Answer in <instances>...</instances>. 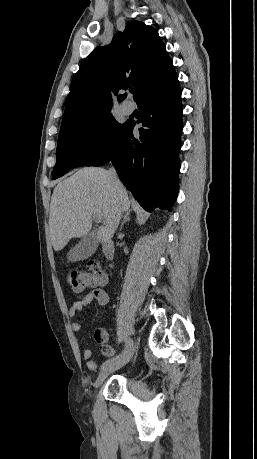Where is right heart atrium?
Returning <instances> with one entry per match:
<instances>
[{"label": "right heart atrium", "mask_w": 257, "mask_h": 459, "mask_svg": "<svg viewBox=\"0 0 257 459\" xmlns=\"http://www.w3.org/2000/svg\"><path fill=\"white\" fill-rule=\"evenodd\" d=\"M94 141L96 144L101 145L106 143L108 139V128L105 125H100L96 128L94 132Z\"/></svg>", "instance_id": "obj_1"}]
</instances>
